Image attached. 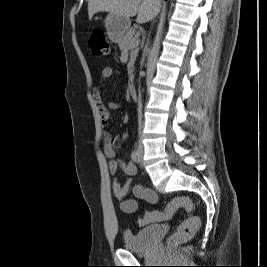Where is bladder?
I'll list each match as a JSON object with an SVG mask.
<instances>
[{
    "label": "bladder",
    "mask_w": 267,
    "mask_h": 267,
    "mask_svg": "<svg viewBox=\"0 0 267 267\" xmlns=\"http://www.w3.org/2000/svg\"><path fill=\"white\" fill-rule=\"evenodd\" d=\"M160 230V225L154 224L136 232L125 231L123 234L124 248L132 252H143L150 248Z\"/></svg>",
    "instance_id": "obj_1"
}]
</instances>
